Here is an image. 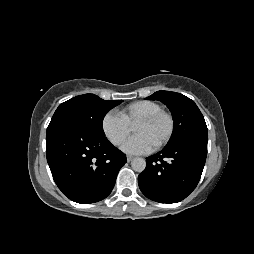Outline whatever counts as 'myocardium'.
<instances>
[{
    "label": "myocardium",
    "instance_id": "1",
    "mask_svg": "<svg viewBox=\"0 0 254 254\" xmlns=\"http://www.w3.org/2000/svg\"><path fill=\"white\" fill-rule=\"evenodd\" d=\"M164 117L168 120L169 123V128H168V132L166 134V136L156 145L154 146V148L156 150L163 148L166 144H168V142L171 140L173 134H174V130H175V120L173 115L170 112H167L165 110H160L157 111L153 114H150L142 119H140L137 124H150L153 123L154 121H156L157 119Z\"/></svg>",
    "mask_w": 254,
    "mask_h": 254
}]
</instances>
